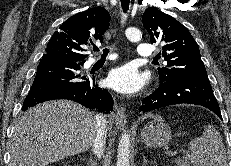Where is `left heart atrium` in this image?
Returning a JSON list of instances; mask_svg holds the SVG:
<instances>
[{
	"label": "left heart atrium",
	"mask_w": 231,
	"mask_h": 166,
	"mask_svg": "<svg viewBox=\"0 0 231 166\" xmlns=\"http://www.w3.org/2000/svg\"><path fill=\"white\" fill-rule=\"evenodd\" d=\"M146 82V75L130 64L111 70L108 76V83L113 89L128 95L139 92Z\"/></svg>",
	"instance_id": "left-heart-atrium-1"
}]
</instances>
